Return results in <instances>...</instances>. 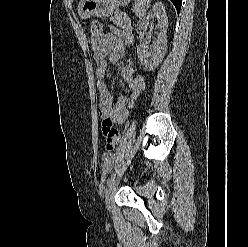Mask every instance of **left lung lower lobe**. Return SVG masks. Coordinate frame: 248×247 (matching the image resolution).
I'll list each match as a JSON object with an SVG mask.
<instances>
[{"instance_id": "0a47b994", "label": "left lung lower lobe", "mask_w": 248, "mask_h": 247, "mask_svg": "<svg viewBox=\"0 0 248 247\" xmlns=\"http://www.w3.org/2000/svg\"><path fill=\"white\" fill-rule=\"evenodd\" d=\"M171 1L175 5L177 13H179L182 5V0H171Z\"/></svg>"}]
</instances>
